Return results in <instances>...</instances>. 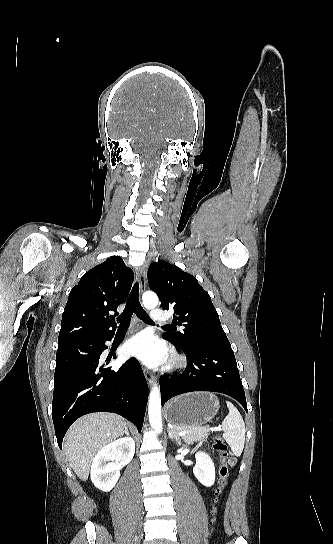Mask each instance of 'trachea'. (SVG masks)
<instances>
[{
  "mask_svg": "<svg viewBox=\"0 0 333 544\" xmlns=\"http://www.w3.org/2000/svg\"><path fill=\"white\" fill-rule=\"evenodd\" d=\"M133 313H135L136 316L142 321L146 323L154 324V322L151 320L149 315L145 312V310L142 308L140 304L138 282H135V284L133 285V288L129 295V299L126 303L124 311L121 313L119 317H117V322L120 323L118 327L119 330H125L128 328ZM165 327H172V326L165 325Z\"/></svg>",
  "mask_w": 333,
  "mask_h": 544,
  "instance_id": "obj_1",
  "label": "trachea"
}]
</instances>
